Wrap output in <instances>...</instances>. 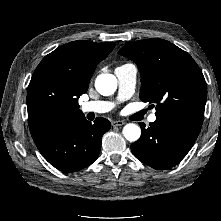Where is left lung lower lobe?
I'll return each instance as SVG.
<instances>
[{
  "label": "left lung lower lobe",
  "mask_w": 221,
  "mask_h": 221,
  "mask_svg": "<svg viewBox=\"0 0 221 221\" xmlns=\"http://www.w3.org/2000/svg\"><path fill=\"white\" fill-rule=\"evenodd\" d=\"M142 129L140 139L131 145L134 156L155 169L177 165L192 148L202 124L175 118H157Z\"/></svg>",
  "instance_id": "left-lung-lower-lobe-1"
}]
</instances>
